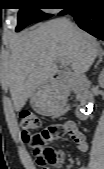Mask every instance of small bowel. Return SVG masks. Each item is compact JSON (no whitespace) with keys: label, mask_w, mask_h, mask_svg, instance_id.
I'll use <instances>...</instances> for the list:
<instances>
[{"label":"small bowel","mask_w":104,"mask_h":169,"mask_svg":"<svg viewBox=\"0 0 104 169\" xmlns=\"http://www.w3.org/2000/svg\"><path fill=\"white\" fill-rule=\"evenodd\" d=\"M67 129V135H69L75 143L76 148L80 152H86L88 150V143L86 136L81 132L74 121H65L63 123ZM65 160V153L62 152L59 160V165ZM78 169H88L86 166L80 167Z\"/></svg>","instance_id":"c3829d8e"}]
</instances>
